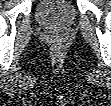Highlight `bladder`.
I'll use <instances>...</instances> for the list:
<instances>
[{
  "mask_svg": "<svg viewBox=\"0 0 111 106\" xmlns=\"http://www.w3.org/2000/svg\"><path fill=\"white\" fill-rule=\"evenodd\" d=\"M38 22L47 28H65L77 18L75 6L65 0H44L36 8Z\"/></svg>",
  "mask_w": 111,
  "mask_h": 106,
  "instance_id": "bladder-1",
  "label": "bladder"
}]
</instances>
